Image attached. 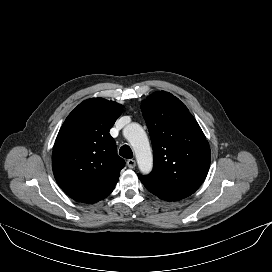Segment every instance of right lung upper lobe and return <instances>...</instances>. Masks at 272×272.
Returning <instances> with one entry per match:
<instances>
[{"mask_svg": "<svg viewBox=\"0 0 272 272\" xmlns=\"http://www.w3.org/2000/svg\"><path fill=\"white\" fill-rule=\"evenodd\" d=\"M122 111L121 104L91 98L63 123L53 148V173L75 201L95 203L116 185L125 161L117 155L109 130Z\"/></svg>", "mask_w": 272, "mask_h": 272, "instance_id": "cb5924a9", "label": "right lung upper lobe"}]
</instances>
